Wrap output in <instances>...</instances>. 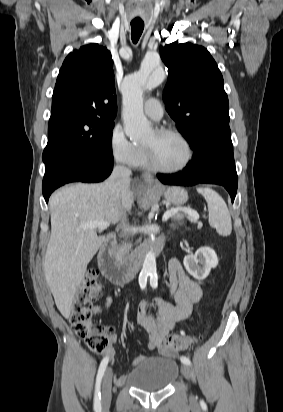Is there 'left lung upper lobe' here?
I'll return each mask as SVG.
<instances>
[{
  "label": "left lung upper lobe",
  "mask_w": 283,
  "mask_h": 412,
  "mask_svg": "<svg viewBox=\"0 0 283 412\" xmlns=\"http://www.w3.org/2000/svg\"><path fill=\"white\" fill-rule=\"evenodd\" d=\"M160 54L168 67L167 112L195 153L202 148L229 159L237 184L228 97L216 62L207 49L191 43L167 44Z\"/></svg>",
  "instance_id": "obj_1"
}]
</instances>
